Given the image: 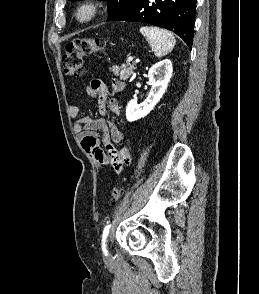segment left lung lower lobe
Returning a JSON list of instances; mask_svg holds the SVG:
<instances>
[{
	"label": "left lung lower lobe",
	"mask_w": 259,
	"mask_h": 294,
	"mask_svg": "<svg viewBox=\"0 0 259 294\" xmlns=\"http://www.w3.org/2000/svg\"><path fill=\"white\" fill-rule=\"evenodd\" d=\"M197 0H136L108 21L148 23L173 31L192 47Z\"/></svg>",
	"instance_id": "0a47b994"
}]
</instances>
